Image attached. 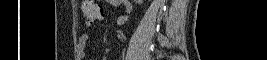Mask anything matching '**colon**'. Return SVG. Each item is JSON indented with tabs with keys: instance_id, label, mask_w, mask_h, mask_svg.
Listing matches in <instances>:
<instances>
[{
	"instance_id": "obj_1",
	"label": "colon",
	"mask_w": 267,
	"mask_h": 60,
	"mask_svg": "<svg viewBox=\"0 0 267 60\" xmlns=\"http://www.w3.org/2000/svg\"><path fill=\"white\" fill-rule=\"evenodd\" d=\"M82 12L85 23L91 25L101 19L103 7L96 1H85L82 6Z\"/></svg>"
}]
</instances>
